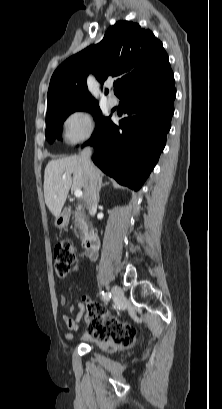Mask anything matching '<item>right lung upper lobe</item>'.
<instances>
[{"label":"right lung upper lobe","mask_w":222,"mask_h":409,"mask_svg":"<svg viewBox=\"0 0 222 409\" xmlns=\"http://www.w3.org/2000/svg\"><path fill=\"white\" fill-rule=\"evenodd\" d=\"M168 72H172L168 55L152 31L131 21H118L109 27L101 42L71 56L55 70L47 111L96 102L87 88L89 73L101 83L108 77H119L115 93L123 99L133 92L157 87V77Z\"/></svg>","instance_id":"1"}]
</instances>
